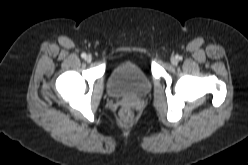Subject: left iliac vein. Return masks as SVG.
Masks as SVG:
<instances>
[{
  "label": "left iliac vein",
  "mask_w": 248,
  "mask_h": 165,
  "mask_svg": "<svg viewBox=\"0 0 248 165\" xmlns=\"http://www.w3.org/2000/svg\"><path fill=\"white\" fill-rule=\"evenodd\" d=\"M171 62H172V64H175L177 61H176V59L173 58V59L171 60Z\"/></svg>",
  "instance_id": "4c4485c4"
}]
</instances>
